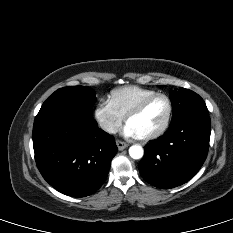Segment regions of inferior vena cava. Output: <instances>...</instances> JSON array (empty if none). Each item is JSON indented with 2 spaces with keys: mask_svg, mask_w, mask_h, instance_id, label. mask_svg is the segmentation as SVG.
Masks as SVG:
<instances>
[{
  "mask_svg": "<svg viewBox=\"0 0 233 233\" xmlns=\"http://www.w3.org/2000/svg\"><path fill=\"white\" fill-rule=\"evenodd\" d=\"M103 130H105L106 132L108 133H112V134H115L117 133L118 129L114 126H111V125H104L103 127Z\"/></svg>",
  "mask_w": 233,
  "mask_h": 233,
  "instance_id": "602c4592",
  "label": "inferior vena cava"
}]
</instances>
